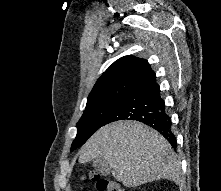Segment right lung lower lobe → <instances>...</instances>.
<instances>
[{
    "label": "right lung lower lobe",
    "instance_id": "obj_1",
    "mask_svg": "<svg viewBox=\"0 0 221 191\" xmlns=\"http://www.w3.org/2000/svg\"><path fill=\"white\" fill-rule=\"evenodd\" d=\"M118 120H136L156 129L171 146H177L171 120L160 97L155 75L131 89L120 99L103 126Z\"/></svg>",
    "mask_w": 221,
    "mask_h": 191
}]
</instances>
